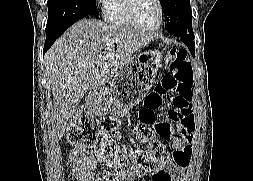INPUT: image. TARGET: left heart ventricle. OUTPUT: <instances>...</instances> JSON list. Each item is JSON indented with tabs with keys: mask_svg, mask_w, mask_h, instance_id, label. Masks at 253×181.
Here are the masks:
<instances>
[{
	"mask_svg": "<svg viewBox=\"0 0 253 181\" xmlns=\"http://www.w3.org/2000/svg\"><path fill=\"white\" fill-rule=\"evenodd\" d=\"M136 14L139 21L147 26L154 27L160 18L159 7L156 0H137Z\"/></svg>",
	"mask_w": 253,
	"mask_h": 181,
	"instance_id": "b2bd125f",
	"label": "left heart ventricle"
}]
</instances>
